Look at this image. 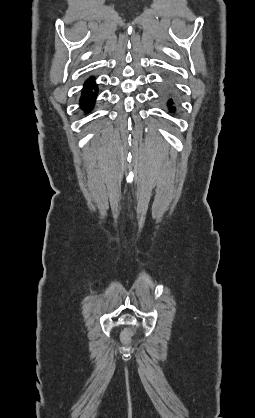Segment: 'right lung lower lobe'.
I'll return each mask as SVG.
<instances>
[{"label":"right lung lower lobe","mask_w":255,"mask_h":418,"mask_svg":"<svg viewBox=\"0 0 255 418\" xmlns=\"http://www.w3.org/2000/svg\"><path fill=\"white\" fill-rule=\"evenodd\" d=\"M97 95V85L93 78L86 81L83 90L82 96L80 98V104L83 110L89 111L95 102Z\"/></svg>","instance_id":"98d812e1"}]
</instances>
